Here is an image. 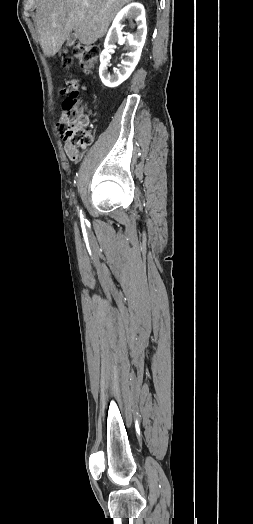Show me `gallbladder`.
<instances>
[{"label": "gallbladder", "mask_w": 253, "mask_h": 524, "mask_svg": "<svg viewBox=\"0 0 253 524\" xmlns=\"http://www.w3.org/2000/svg\"><path fill=\"white\" fill-rule=\"evenodd\" d=\"M75 40H76V37H75L74 33H71V34L68 36V38H67V45H68V46L73 45L74 42H75Z\"/></svg>", "instance_id": "1"}]
</instances>
